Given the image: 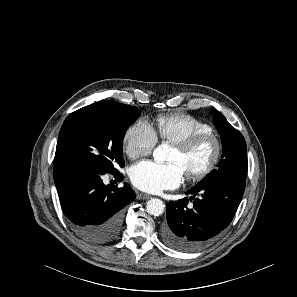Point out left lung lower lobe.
I'll list each match as a JSON object with an SVG mask.
<instances>
[{"label":"left lung lower lobe","instance_id":"left-lung-lower-lobe-1","mask_svg":"<svg viewBox=\"0 0 297 297\" xmlns=\"http://www.w3.org/2000/svg\"><path fill=\"white\" fill-rule=\"evenodd\" d=\"M245 189V181L215 180L189 190V199L167 203L164 242L179 251H195L205 246L232 221ZM199 195V198L196 196Z\"/></svg>","mask_w":297,"mask_h":297}]
</instances>
